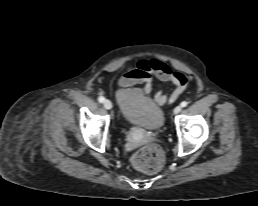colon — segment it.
Returning <instances> with one entry per match:
<instances>
[{
  "instance_id": "1",
  "label": "colon",
  "mask_w": 258,
  "mask_h": 206,
  "mask_svg": "<svg viewBox=\"0 0 258 206\" xmlns=\"http://www.w3.org/2000/svg\"><path fill=\"white\" fill-rule=\"evenodd\" d=\"M132 163L138 170L155 173L159 171L164 164V154L158 145L148 144L133 155Z\"/></svg>"
}]
</instances>
